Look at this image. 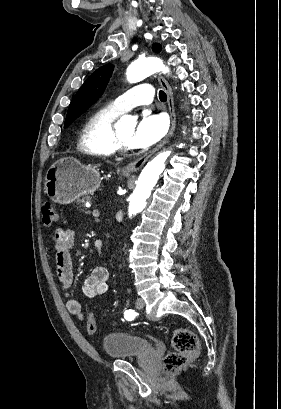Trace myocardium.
<instances>
[{"label": "myocardium", "instance_id": "1", "mask_svg": "<svg viewBox=\"0 0 281 409\" xmlns=\"http://www.w3.org/2000/svg\"><path fill=\"white\" fill-rule=\"evenodd\" d=\"M109 145L114 155L126 156L134 151V148H128L123 144L115 124L110 130Z\"/></svg>", "mask_w": 281, "mask_h": 409}]
</instances>
